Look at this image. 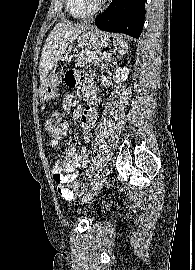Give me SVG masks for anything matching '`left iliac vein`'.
<instances>
[{
  "label": "left iliac vein",
  "instance_id": "left-iliac-vein-1",
  "mask_svg": "<svg viewBox=\"0 0 195 270\" xmlns=\"http://www.w3.org/2000/svg\"><path fill=\"white\" fill-rule=\"evenodd\" d=\"M109 172H110L109 169H105L102 172V174L98 177L96 183L91 188L90 192L84 196L83 203L89 201L94 195L97 194V192L102 188V186L106 182Z\"/></svg>",
  "mask_w": 195,
  "mask_h": 270
}]
</instances>
